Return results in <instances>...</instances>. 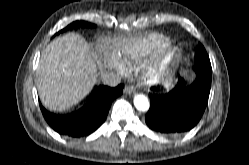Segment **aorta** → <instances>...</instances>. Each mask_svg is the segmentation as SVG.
I'll use <instances>...</instances> for the list:
<instances>
[{"instance_id": "1", "label": "aorta", "mask_w": 249, "mask_h": 165, "mask_svg": "<svg viewBox=\"0 0 249 165\" xmlns=\"http://www.w3.org/2000/svg\"><path fill=\"white\" fill-rule=\"evenodd\" d=\"M134 105L138 111H147L149 109L148 98L142 94L135 95Z\"/></svg>"}]
</instances>
